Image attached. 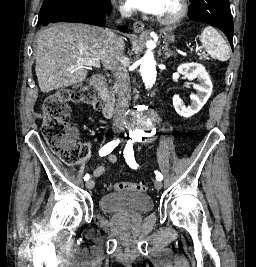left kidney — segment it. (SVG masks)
Masks as SVG:
<instances>
[{"label":"left kidney","instance_id":"left-kidney-1","mask_svg":"<svg viewBox=\"0 0 256 267\" xmlns=\"http://www.w3.org/2000/svg\"><path fill=\"white\" fill-rule=\"evenodd\" d=\"M177 72L183 74L188 80H195V78H198V82H200V84H193L196 94H191L190 96L191 106H187L186 108V106H183L182 100L178 94L173 96L172 102L177 114L183 116V118H190V116L197 114L202 106L206 104L208 98H210L213 88L212 82L202 64H195V62L180 64L177 68Z\"/></svg>","mask_w":256,"mask_h":267}]
</instances>
